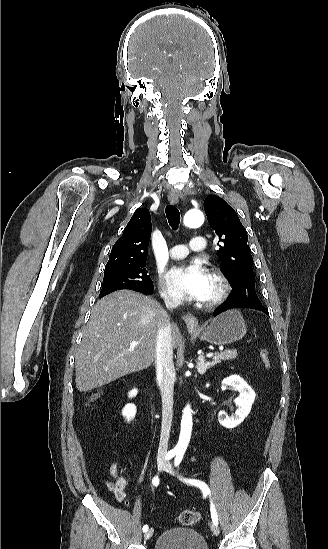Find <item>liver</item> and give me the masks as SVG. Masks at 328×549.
<instances>
[{"mask_svg":"<svg viewBox=\"0 0 328 549\" xmlns=\"http://www.w3.org/2000/svg\"><path fill=\"white\" fill-rule=\"evenodd\" d=\"M170 325L172 345L179 329L160 303L135 291H117L94 305L76 353V387L81 393L150 367L159 329ZM137 341L136 347H130Z\"/></svg>","mask_w":328,"mask_h":549,"instance_id":"obj_1","label":"liver"}]
</instances>
